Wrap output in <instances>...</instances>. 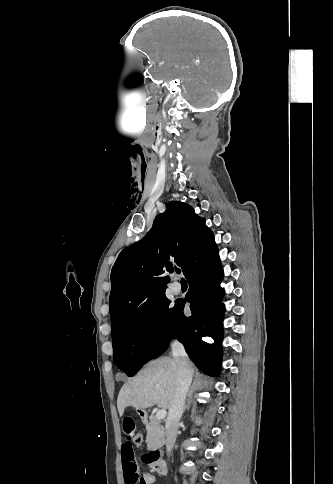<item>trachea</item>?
I'll use <instances>...</instances> for the list:
<instances>
[{
	"label": "trachea",
	"instance_id": "trachea-1",
	"mask_svg": "<svg viewBox=\"0 0 333 484\" xmlns=\"http://www.w3.org/2000/svg\"><path fill=\"white\" fill-rule=\"evenodd\" d=\"M176 272H177L178 274H180V273H181V270H177Z\"/></svg>",
	"mask_w": 333,
	"mask_h": 484
}]
</instances>
